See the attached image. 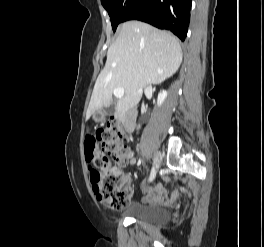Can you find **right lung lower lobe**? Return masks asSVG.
<instances>
[{
	"label": "right lung lower lobe",
	"instance_id": "obj_1",
	"mask_svg": "<svg viewBox=\"0 0 264 247\" xmlns=\"http://www.w3.org/2000/svg\"><path fill=\"white\" fill-rule=\"evenodd\" d=\"M192 0H134L123 21L140 20L167 29L185 40Z\"/></svg>",
	"mask_w": 264,
	"mask_h": 247
}]
</instances>
